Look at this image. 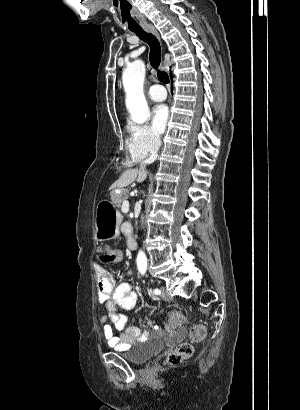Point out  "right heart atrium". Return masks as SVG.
I'll list each match as a JSON object with an SVG mask.
<instances>
[{
	"mask_svg": "<svg viewBox=\"0 0 300 410\" xmlns=\"http://www.w3.org/2000/svg\"><path fill=\"white\" fill-rule=\"evenodd\" d=\"M127 149L132 159L142 160L158 151L161 136L148 124H130Z\"/></svg>",
	"mask_w": 300,
	"mask_h": 410,
	"instance_id": "right-heart-atrium-1",
	"label": "right heart atrium"
}]
</instances>
